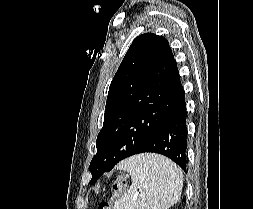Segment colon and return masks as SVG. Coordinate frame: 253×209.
<instances>
[{"label": "colon", "instance_id": "1", "mask_svg": "<svg viewBox=\"0 0 253 209\" xmlns=\"http://www.w3.org/2000/svg\"><path fill=\"white\" fill-rule=\"evenodd\" d=\"M126 186V179L124 176H119L113 185V196L110 201L100 203L98 209H111V204L117 198H119Z\"/></svg>", "mask_w": 253, "mask_h": 209}]
</instances>
